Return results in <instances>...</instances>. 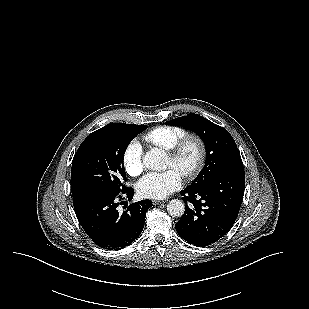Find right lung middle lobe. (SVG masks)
<instances>
[{
    "label": "right lung middle lobe",
    "instance_id": "dd1d6c3e",
    "mask_svg": "<svg viewBox=\"0 0 309 309\" xmlns=\"http://www.w3.org/2000/svg\"><path fill=\"white\" fill-rule=\"evenodd\" d=\"M146 125L113 123L91 133L77 150L71 168L73 197L89 192L121 193L125 150Z\"/></svg>",
    "mask_w": 309,
    "mask_h": 309
}]
</instances>
